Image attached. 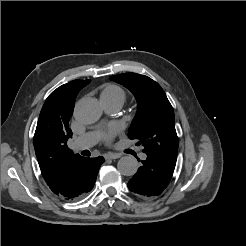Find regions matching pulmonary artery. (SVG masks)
Segmentation results:
<instances>
[{"label": "pulmonary artery", "mask_w": 246, "mask_h": 246, "mask_svg": "<svg viewBox=\"0 0 246 246\" xmlns=\"http://www.w3.org/2000/svg\"><path fill=\"white\" fill-rule=\"evenodd\" d=\"M103 105L108 112H117L122 106L119 103H103ZM97 141L98 136L95 133L89 132L76 138L73 142V147L75 150L89 149L95 145ZM146 157L147 155L145 153L140 154L142 160H145Z\"/></svg>", "instance_id": "obj_1"}]
</instances>
